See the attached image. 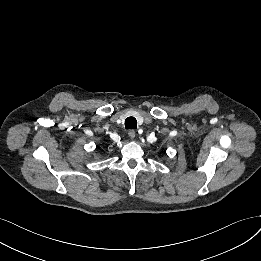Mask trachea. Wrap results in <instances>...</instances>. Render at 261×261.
<instances>
[{
	"label": "trachea",
	"mask_w": 261,
	"mask_h": 261,
	"mask_svg": "<svg viewBox=\"0 0 261 261\" xmlns=\"http://www.w3.org/2000/svg\"><path fill=\"white\" fill-rule=\"evenodd\" d=\"M125 128L126 129H136L137 128V121L134 117H128L125 120Z\"/></svg>",
	"instance_id": "trachea-1"
}]
</instances>
